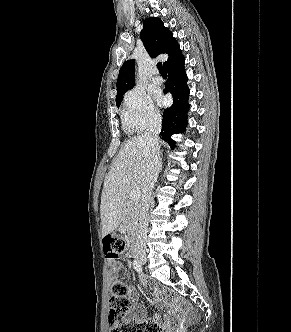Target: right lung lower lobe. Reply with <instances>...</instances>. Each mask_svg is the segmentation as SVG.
<instances>
[{
	"instance_id": "right-lung-lower-lobe-1",
	"label": "right lung lower lobe",
	"mask_w": 291,
	"mask_h": 332,
	"mask_svg": "<svg viewBox=\"0 0 291 332\" xmlns=\"http://www.w3.org/2000/svg\"><path fill=\"white\" fill-rule=\"evenodd\" d=\"M185 59L182 56L174 63L170 64L165 70L168 73V80L165 84L164 93H170L173 97V105L163 112L162 131L160 135L169 142L172 134L184 132L187 122V112L189 110L187 86V75L184 70Z\"/></svg>"
}]
</instances>
